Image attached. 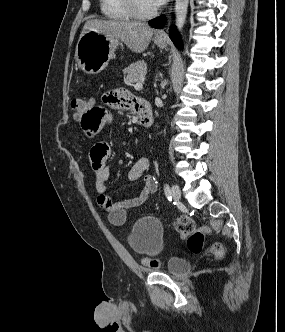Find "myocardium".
Masks as SVG:
<instances>
[{
    "mask_svg": "<svg viewBox=\"0 0 285 332\" xmlns=\"http://www.w3.org/2000/svg\"><path fill=\"white\" fill-rule=\"evenodd\" d=\"M130 16L137 20H147L155 17L158 10L155 8L149 12H143L139 9L137 0H122Z\"/></svg>",
    "mask_w": 285,
    "mask_h": 332,
    "instance_id": "myocardium-1",
    "label": "myocardium"
}]
</instances>
